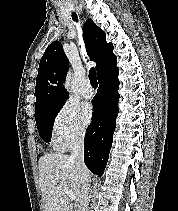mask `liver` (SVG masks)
Instances as JSON below:
<instances>
[{
  "instance_id": "6515ba94",
  "label": "liver",
  "mask_w": 178,
  "mask_h": 211,
  "mask_svg": "<svg viewBox=\"0 0 178 211\" xmlns=\"http://www.w3.org/2000/svg\"><path fill=\"white\" fill-rule=\"evenodd\" d=\"M85 175L70 156L49 153L39 159V187L42 193L44 211H73L70 198L64 192L67 188L74 193L82 206V185Z\"/></svg>"
}]
</instances>
